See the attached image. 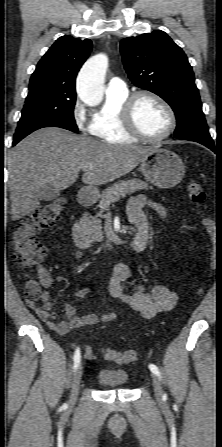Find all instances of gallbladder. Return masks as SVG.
Wrapping results in <instances>:
<instances>
[{
  "label": "gallbladder",
  "instance_id": "gallbladder-1",
  "mask_svg": "<svg viewBox=\"0 0 222 447\" xmlns=\"http://www.w3.org/2000/svg\"><path fill=\"white\" fill-rule=\"evenodd\" d=\"M59 195H60V190H58L50 185H45L40 190L39 199L41 201H52V200L56 199Z\"/></svg>",
  "mask_w": 222,
  "mask_h": 447
}]
</instances>
